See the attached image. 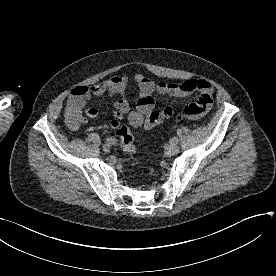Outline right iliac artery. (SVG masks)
I'll return each instance as SVG.
<instances>
[{
  "instance_id": "82829eb1",
  "label": "right iliac artery",
  "mask_w": 276,
  "mask_h": 276,
  "mask_svg": "<svg viewBox=\"0 0 276 276\" xmlns=\"http://www.w3.org/2000/svg\"><path fill=\"white\" fill-rule=\"evenodd\" d=\"M106 141L109 143V144H115L116 140L113 138V137H108L106 138Z\"/></svg>"
}]
</instances>
